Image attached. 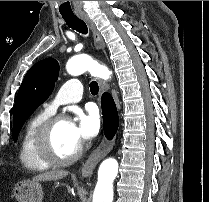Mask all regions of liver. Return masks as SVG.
Returning <instances> with one entry per match:
<instances>
[{
  "mask_svg": "<svg viewBox=\"0 0 209 202\" xmlns=\"http://www.w3.org/2000/svg\"><path fill=\"white\" fill-rule=\"evenodd\" d=\"M68 175V171L65 170H56V171H49L33 177L32 181H54L59 180Z\"/></svg>",
  "mask_w": 209,
  "mask_h": 202,
  "instance_id": "6515ba94",
  "label": "liver"
}]
</instances>
